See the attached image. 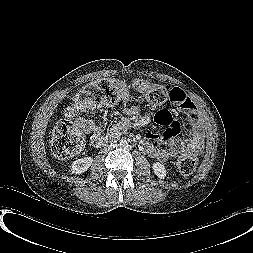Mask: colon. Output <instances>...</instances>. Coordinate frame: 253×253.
Wrapping results in <instances>:
<instances>
[{"instance_id": "1", "label": "colon", "mask_w": 253, "mask_h": 253, "mask_svg": "<svg viewBox=\"0 0 253 253\" xmlns=\"http://www.w3.org/2000/svg\"><path fill=\"white\" fill-rule=\"evenodd\" d=\"M137 89L144 90V98L150 107H157L167 101L175 100V93L171 87L159 84H151L139 81ZM130 97L129 85L116 79H101L86 86L77 96L76 103L67 108L69 115L78 107L84 110H94L102 106H112L126 103ZM83 135L70 123L61 122L55 128L51 147L58 158H70L78 154L84 147ZM179 171L183 175H190L196 167V159L192 156H184L177 162Z\"/></svg>"}]
</instances>
